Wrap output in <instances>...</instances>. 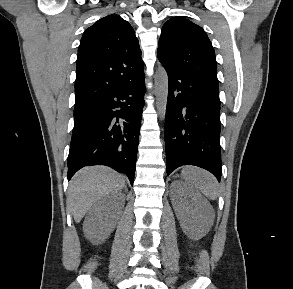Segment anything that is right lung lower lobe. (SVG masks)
<instances>
[{
    "label": "right lung lower lobe",
    "instance_id": "98d812e1",
    "mask_svg": "<svg viewBox=\"0 0 293 289\" xmlns=\"http://www.w3.org/2000/svg\"><path fill=\"white\" fill-rule=\"evenodd\" d=\"M145 77L117 87L74 109L68 180L87 165H106L125 173L133 185Z\"/></svg>",
    "mask_w": 293,
    "mask_h": 289
}]
</instances>
